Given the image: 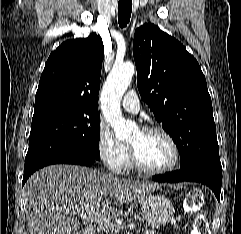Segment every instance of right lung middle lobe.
Here are the masks:
<instances>
[{
	"label": "right lung middle lobe",
	"instance_id": "obj_1",
	"mask_svg": "<svg viewBox=\"0 0 241 234\" xmlns=\"http://www.w3.org/2000/svg\"><path fill=\"white\" fill-rule=\"evenodd\" d=\"M49 140L65 141L100 159L98 108L67 103L35 106L30 145Z\"/></svg>",
	"mask_w": 241,
	"mask_h": 234
}]
</instances>
